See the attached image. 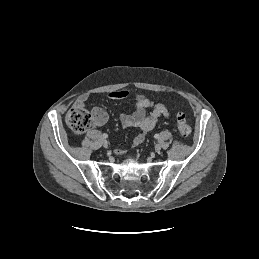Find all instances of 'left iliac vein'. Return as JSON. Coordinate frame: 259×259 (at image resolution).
<instances>
[{
    "label": "left iliac vein",
    "instance_id": "1",
    "mask_svg": "<svg viewBox=\"0 0 259 259\" xmlns=\"http://www.w3.org/2000/svg\"><path fill=\"white\" fill-rule=\"evenodd\" d=\"M160 150H161L160 144H156V145H155V151H156V152H160Z\"/></svg>",
    "mask_w": 259,
    "mask_h": 259
}]
</instances>
